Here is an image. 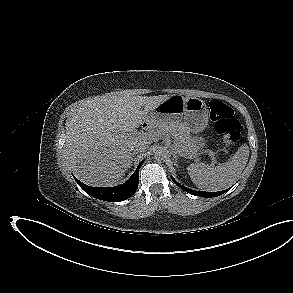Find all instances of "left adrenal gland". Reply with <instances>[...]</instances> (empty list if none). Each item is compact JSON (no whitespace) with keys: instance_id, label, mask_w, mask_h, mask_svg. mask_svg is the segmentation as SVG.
Wrapping results in <instances>:
<instances>
[{"instance_id":"left-adrenal-gland-1","label":"left adrenal gland","mask_w":293,"mask_h":293,"mask_svg":"<svg viewBox=\"0 0 293 293\" xmlns=\"http://www.w3.org/2000/svg\"><path fill=\"white\" fill-rule=\"evenodd\" d=\"M172 155H173V158H174L175 162H177V158L179 156L177 155V152L175 150H172Z\"/></svg>"}]
</instances>
